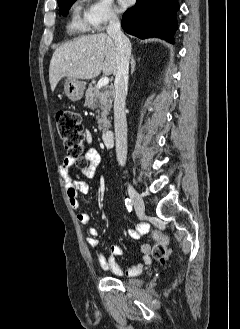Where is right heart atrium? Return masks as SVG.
<instances>
[{"label": "right heart atrium", "mask_w": 240, "mask_h": 329, "mask_svg": "<svg viewBox=\"0 0 240 329\" xmlns=\"http://www.w3.org/2000/svg\"><path fill=\"white\" fill-rule=\"evenodd\" d=\"M85 16L89 27L95 32H102L118 21L112 0H92Z\"/></svg>", "instance_id": "1"}]
</instances>
